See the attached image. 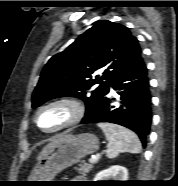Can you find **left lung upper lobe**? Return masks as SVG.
<instances>
[{
	"mask_svg": "<svg viewBox=\"0 0 178 186\" xmlns=\"http://www.w3.org/2000/svg\"><path fill=\"white\" fill-rule=\"evenodd\" d=\"M143 60L138 40L123 25L100 20L43 68L32 95V107L64 96L82 99L86 113L102 101L124 71ZM96 71L101 72L92 78ZM105 80V81H104Z\"/></svg>",
	"mask_w": 178,
	"mask_h": 186,
	"instance_id": "obj_1",
	"label": "left lung upper lobe"
}]
</instances>
